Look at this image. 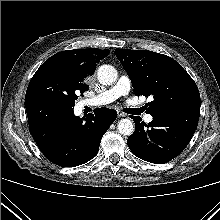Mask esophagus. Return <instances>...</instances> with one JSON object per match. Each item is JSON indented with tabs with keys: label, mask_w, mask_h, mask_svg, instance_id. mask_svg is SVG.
<instances>
[{
	"label": "esophagus",
	"mask_w": 220,
	"mask_h": 220,
	"mask_svg": "<svg viewBox=\"0 0 220 220\" xmlns=\"http://www.w3.org/2000/svg\"><path fill=\"white\" fill-rule=\"evenodd\" d=\"M117 115H118V117H125L126 116V114L120 110H117Z\"/></svg>",
	"instance_id": "obj_1"
}]
</instances>
